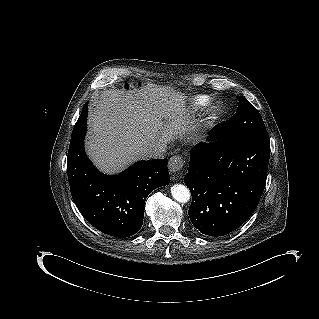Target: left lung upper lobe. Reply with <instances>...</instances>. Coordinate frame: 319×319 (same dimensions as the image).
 Returning a JSON list of instances; mask_svg holds the SVG:
<instances>
[{
	"label": "left lung upper lobe",
	"mask_w": 319,
	"mask_h": 319,
	"mask_svg": "<svg viewBox=\"0 0 319 319\" xmlns=\"http://www.w3.org/2000/svg\"><path fill=\"white\" fill-rule=\"evenodd\" d=\"M239 106L236 113L222 122L218 137L221 139L268 138L260 113L244 97L238 96Z\"/></svg>",
	"instance_id": "1"
}]
</instances>
